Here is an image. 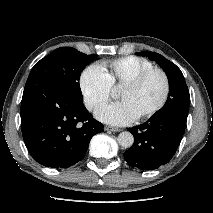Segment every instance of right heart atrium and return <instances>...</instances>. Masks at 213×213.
<instances>
[{
    "instance_id": "1",
    "label": "right heart atrium",
    "mask_w": 213,
    "mask_h": 213,
    "mask_svg": "<svg viewBox=\"0 0 213 213\" xmlns=\"http://www.w3.org/2000/svg\"><path fill=\"white\" fill-rule=\"evenodd\" d=\"M79 85L85 106L91 111L104 105L111 97L109 78L98 64H91L82 71Z\"/></svg>"
}]
</instances>
